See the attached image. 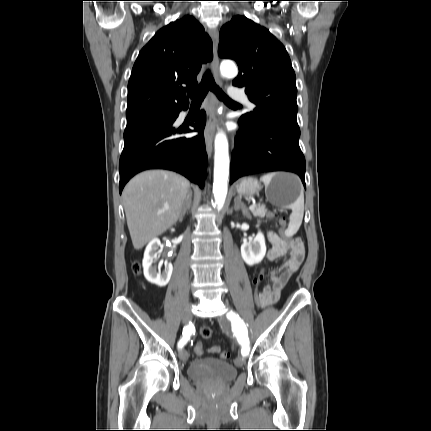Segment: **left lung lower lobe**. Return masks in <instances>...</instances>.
Listing matches in <instances>:
<instances>
[{"instance_id":"1","label":"left lung lower lobe","mask_w":431,"mask_h":431,"mask_svg":"<svg viewBox=\"0 0 431 431\" xmlns=\"http://www.w3.org/2000/svg\"><path fill=\"white\" fill-rule=\"evenodd\" d=\"M240 129L239 151L232 152L230 183L239 177L270 171L297 173L305 186V158L299 147V126L266 120Z\"/></svg>"}]
</instances>
